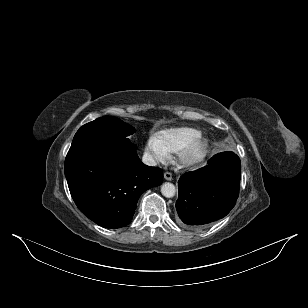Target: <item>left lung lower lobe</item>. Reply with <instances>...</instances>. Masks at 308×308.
I'll use <instances>...</instances> for the list:
<instances>
[{"label": "left lung lower lobe", "instance_id": "obj_1", "mask_svg": "<svg viewBox=\"0 0 308 308\" xmlns=\"http://www.w3.org/2000/svg\"><path fill=\"white\" fill-rule=\"evenodd\" d=\"M240 174V159L229 151L216 154L207 166L182 175L176 202L178 222L196 229L225 217L238 198Z\"/></svg>", "mask_w": 308, "mask_h": 308}]
</instances>
